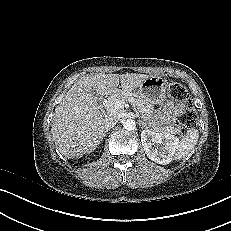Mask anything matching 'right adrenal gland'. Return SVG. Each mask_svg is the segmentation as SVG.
I'll return each mask as SVG.
<instances>
[{"label": "right adrenal gland", "mask_w": 231, "mask_h": 231, "mask_svg": "<svg viewBox=\"0 0 231 231\" xmlns=\"http://www.w3.org/2000/svg\"><path fill=\"white\" fill-rule=\"evenodd\" d=\"M107 131L105 132L104 136H106Z\"/></svg>", "instance_id": "2a0ac1e0"}]
</instances>
